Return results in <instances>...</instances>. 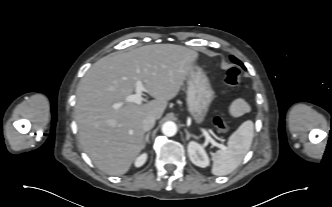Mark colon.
Instances as JSON below:
<instances>
[{"label":"colon","instance_id":"1","mask_svg":"<svg viewBox=\"0 0 332 207\" xmlns=\"http://www.w3.org/2000/svg\"><path fill=\"white\" fill-rule=\"evenodd\" d=\"M239 82H240L239 70L236 68L229 69L225 74V83L228 86H236L239 84ZM214 124L220 132H226L228 130L227 122L221 117H216L214 119Z\"/></svg>","mask_w":332,"mask_h":207}]
</instances>
